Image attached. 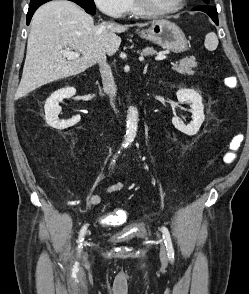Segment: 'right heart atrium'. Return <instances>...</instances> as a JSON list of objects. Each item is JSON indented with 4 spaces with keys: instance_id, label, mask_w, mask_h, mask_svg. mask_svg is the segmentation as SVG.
I'll use <instances>...</instances> for the list:
<instances>
[{
    "instance_id": "obj_1",
    "label": "right heart atrium",
    "mask_w": 249,
    "mask_h": 294,
    "mask_svg": "<svg viewBox=\"0 0 249 294\" xmlns=\"http://www.w3.org/2000/svg\"><path fill=\"white\" fill-rule=\"evenodd\" d=\"M96 7L111 17H121L125 13L127 0H93Z\"/></svg>"
}]
</instances>
